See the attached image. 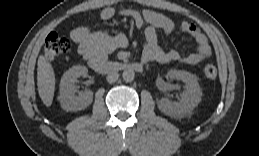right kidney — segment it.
<instances>
[{"label":"right kidney","instance_id":"1","mask_svg":"<svg viewBox=\"0 0 259 156\" xmlns=\"http://www.w3.org/2000/svg\"><path fill=\"white\" fill-rule=\"evenodd\" d=\"M88 70L85 66L76 65L67 70L60 81V103L66 111H80L89 106L93 100V92L86 90L78 96L75 95V82L80 76H87Z\"/></svg>","mask_w":259,"mask_h":156}]
</instances>
